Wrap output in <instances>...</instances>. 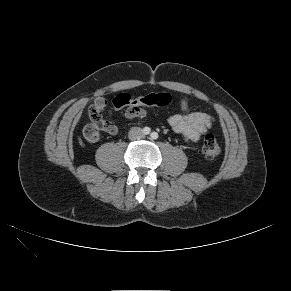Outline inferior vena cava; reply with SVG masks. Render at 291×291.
Listing matches in <instances>:
<instances>
[{"instance_id":"602c4592","label":"inferior vena cava","mask_w":291,"mask_h":291,"mask_svg":"<svg viewBox=\"0 0 291 291\" xmlns=\"http://www.w3.org/2000/svg\"><path fill=\"white\" fill-rule=\"evenodd\" d=\"M128 137L130 140H139L144 137V133L140 127H134L129 131Z\"/></svg>"}]
</instances>
